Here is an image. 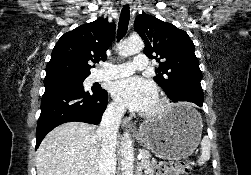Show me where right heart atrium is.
Segmentation results:
<instances>
[{"label": "right heart atrium", "mask_w": 251, "mask_h": 175, "mask_svg": "<svg viewBox=\"0 0 251 175\" xmlns=\"http://www.w3.org/2000/svg\"><path fill=\"white\" fill-rule=\"evenodd\" d=\"M108 110L109 113L115 117H120L123 114V110L113 102L110 103Z\"/></svg>", "instance_id": "right-heart-atrium-1"}]
</instances>
